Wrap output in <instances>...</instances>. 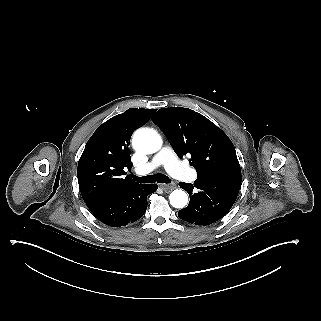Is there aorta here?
Masks as SVG:
<instances>
[{"label":"aorta","instance_id":"762f6f07","mask_svg":"<svg viewBox=\"0 0 321 321\" xmlns=\"http://www.w3.org/2000/svg\"><path fill=\"white\" fill-rule=\"evenodd\" d=\"M132 145L138 152L152 154L161 148L162 139L155 130L142 128L134 133ZM169 200L173 207L182 209L187 205L188 196L183 190L177 189L171 192Z\"/></svg>","mask_w":321,"mask_h":321}]
</instances>
